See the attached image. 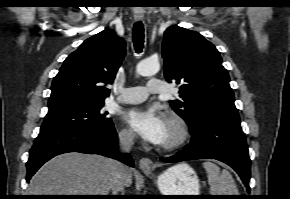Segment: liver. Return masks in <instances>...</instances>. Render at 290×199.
<instances>
[{"label": "liver", "mask_w": 290, "mask_h": 199, "mask_svg": "<svg viewBox=\"0 0 290 199\" xmlns=\"http://www.w3.org/2000/svg\"><path fill=\"white\" fill-rule=\"evenodd\" d=\"M114 160L98 155L66 153L49 160L30 180V195H109ZM124 186L132 184L126 168Z\"/></svg>", "instance_id": "1"}]
</instances>
